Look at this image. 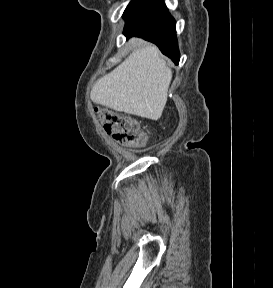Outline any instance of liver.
<instances>
[{
	"mask_svg": "<svg viewBox=\"0 0 273 288\" xmlns=\"http://www.w3.org/2000/svg\"><path fill=\"white\" fill-rule=\"evenodd\" d=\"M132 53L93 86L90 98L118 112L158 120L167 102L172 71L156 46L131 39Z\"/></svg>",
	"mask_w": 273,
	"mask_h": 288,
	"instance_id": "1",
	"label": "liver"
}]
</instances>
